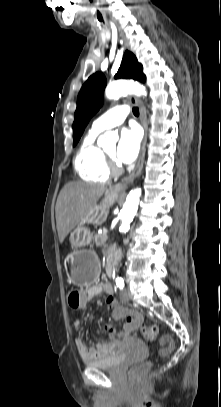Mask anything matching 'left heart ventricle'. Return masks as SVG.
<instances>
[{"mask_svg": "<svg viewBox=\"0 0 221 407\" xmlns=\"http://www.w3.org/2000/svg\"><path fill=\"white\" fill-rule=\"evenodd\" d=\"M106 153L109 155V156H111V157H115V153H116V148L115 147H112V148H110V149H108L107 151H106Z\"/></svg>", "mask_w": 221, "mask_h": 407, "instance_id": "left-heart-ventricle-1", "label": "left heart ventricle"}]
</instances>
